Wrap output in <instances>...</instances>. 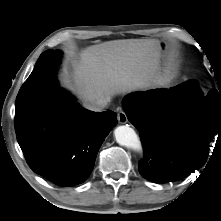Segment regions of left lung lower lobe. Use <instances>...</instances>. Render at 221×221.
Here are the masks:
<instances>
[{
  "mask_svg": "<svg viewBox=\"0 0 221 221\" xmlns=\"http://www.w3.org/2000/svg\"><path fill=\"white\" fill-rule=\"evenodd\" d=\"M216 94L204 97L196 81L189 80L124 98L127 118L143 143L144 159L138 168L145 179L174 182L205 164L217 134L221 142V97Z\"/></svg>",
  "mask_w": 221,
  "mask_h": 221,
  "instance_id": "0a47b994",
  "label": "left lung lower lobe"
}]
</instances>
